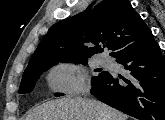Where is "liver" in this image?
<instances>
[{
	"label": "liver",
	"instance_id": "liver-1",
	"mask_svg": "<svg viewBox=\"0 0 165 120\" xmlns=\"http://www.w3.org/2000/svg\"><path fill=\"white\" fill-rule=\"evenodd\" d=\"M124 113L93 99L61 98L37 106L26 120H127Z\"/></svg>",
	"mask_w": 165,
	"mask_h": 120
}]
</instances>
